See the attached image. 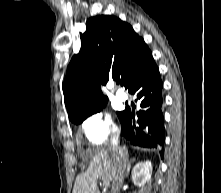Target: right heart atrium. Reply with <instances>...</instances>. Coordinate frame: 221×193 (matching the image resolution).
<instances>
[{
  "label": "right heart atrium",
  "instance_id": "right-heart-atrium-1",
  "mask_svg": "<svg viewBox=\"0 0 221 193\" xmlns=\"http://www.w3.org/2000/svg\"><path fill=\"white\" fill-rule=\"evenodd\" d=\"M82 131L89 144L102 145L118 134V126L110 112L99 110L85 119Z\"/></svg>",
  "mask_w": 221,
  "mask_h": 193
}]
</instances>
